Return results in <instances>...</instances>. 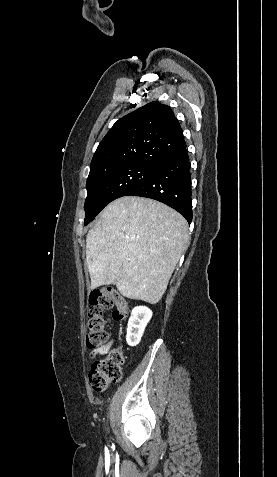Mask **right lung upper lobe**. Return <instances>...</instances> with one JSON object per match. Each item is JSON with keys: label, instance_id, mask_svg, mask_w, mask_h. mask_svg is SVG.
<instances>
[{"label": "right lung upper lobe", "instance_id": "right-lung-upper-lobe-1", "mask_svg": "<svg viewBox=\"0 0 277 477\" xmlns=\"http://www.w3.org/2000/svg\"><path fill=\"white\" fill-rule=\"evenodd\" d=\"M184 147L182 128L170 107L153 101L113 125L93 156L90 173L127 163L157 165Z\"/></svg>", "mask_w": 277, "mask_h": 477}]
</instances>
